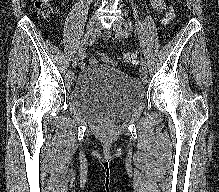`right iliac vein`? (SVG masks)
Returning a JSON list of instances; mask_svg holds the SVG:
<instances>
[{
    "instance_id": "63e3f726",
    "label": "right iliac vein",
    "mask_w": 219,
    "mask_h": 192,
    "mask_svg": "<svg viewBox=\"0 0 219 192\" xmlns=\"http://www.w3.org/2000/svg\"><path fill=\"white\" fill-rule=\"evenodd\" d=\"M96 25H97V17L95 15H93L89 19V22H88V25H87L86 33H88L89 36L92 35V33L94 32ZM81 57H82V53L78 51V54L74 57V59L72 61V66L74 68L78 66Z\"/></svg>"
}]
</instances>
